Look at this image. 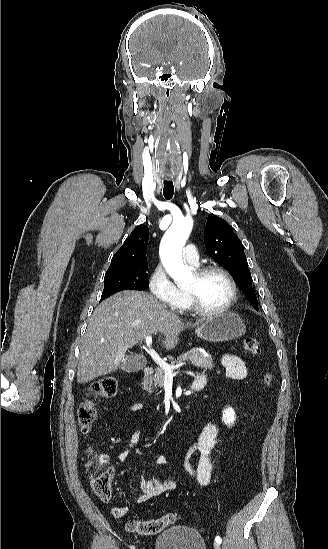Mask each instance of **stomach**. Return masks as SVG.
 Listing matches in <instances>:
<instances>
[{"label": "stomach", "instance_id": "1", "mask_svg": "<svg viewBox=\"0 0 328 549\" xmlns=\"http://www.w3.org/2000/svg\"><path fill=\"white\" fill-rule=\"evenodd\" d=\"M199 339L210 341V343H221V341H232L246 333V327L237 313L234 311H222L212 317H207L204 323L195 329Z\"/></svg>", "mask_w": 328, "mask_h": 549}]
</instances>
